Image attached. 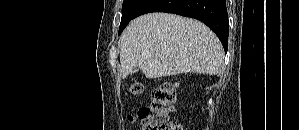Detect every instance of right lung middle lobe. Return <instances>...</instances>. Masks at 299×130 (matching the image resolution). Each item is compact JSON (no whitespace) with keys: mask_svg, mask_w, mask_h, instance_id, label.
<instances>
[{"mask_svg":"<svg viewBox=\"0 0 299 130\" xmlns=\"http://www.w3.org/2000/svg\"><path fill=\"white\" fill-rule=\"evenodd\" d=\"M147 0H124L122 5V19L119 27V34L127 26V24L134 18V15L139 10V8Z\"/></svg>","mask_w":299,"mask_h":130,"instance_id":"obj_1","label":"right lung middle lobe"}]
</instances>
